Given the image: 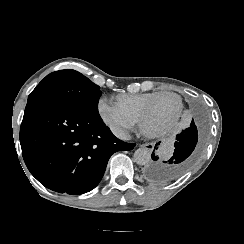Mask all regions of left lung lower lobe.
Segmentation results:
<instances>
[{
	"label": "left lung lower lobe",
	"mask_w": 244,
	"mask_h": 244,
	"mask_svg": "<svg viewBox=\"0 0 244 244\" xmlns=\"http://www.w3.org/2000/svg\"><path fill=\"white\" fill-rule=\"evenodd\" d=\"M175 150L169 160H158L154 152L144 170V176L154 182H168L182 175L192 164L195 147L198 141L197 127L192 119L189 128L176 136Z\"/></svg>",
	"instance_id": "left-lung-lower-lobe-1"
}]
</instances>
